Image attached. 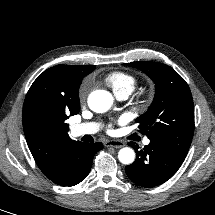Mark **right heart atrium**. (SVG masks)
<instances>
[{"label":"right heart atrium","mask_w":215,"mask_h":215,"mask_svg":"<svg viewBox=\"0 0 215 215\" xmlns=\"http://www.w3.org/2000/svg\"><path fill=\"white\" fill-rule=\"evenodd\" d=\"M89 83L88 82H84L80 89H79V99L81 101L85 100L86 96H87V93H88V90H89Z\"/></svg>","instance_id":"1"}]
</instances>
